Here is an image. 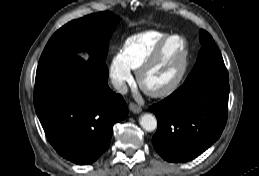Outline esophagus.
<instances>
[{"label": "esophagus", "instance_id": "34e87169", "mask_svg": "<svg viewBox=\"0 0 259 176\" xmlns=\"http://www.w3.org/2000/svg\"><path fill=\"white\" fill-rule=\"evenodd\" d=\"M129 108H130V110L133 112V113H140L141 112V107L140 106H138L137 104H135V103H130V105H129Z\"/></svg>", "mask_w": 259, "mask_h": 176}]
</instances>
